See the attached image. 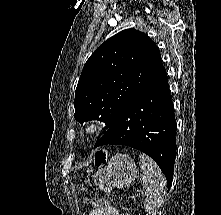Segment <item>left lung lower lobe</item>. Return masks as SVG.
I'll list each match as a JSON object with an SVG mask.
<instances>
[{
    "instance_id": "0a47b994",
    "label": "left lung lower lobe",
    "mask_w": 221,
    "mask_h": 215,
    "mask_svg": "<svg viewBox=\"0 0 221 215\" xmlns=\"http://www.w3.org/2000/svg\"><path fill=\"white\" fill-rule=\"evenodd\" d=\"M166 70L142 92L109 127L94 147L126 145L149 155L167 179L173 180L175 162V120Z\"/></svg>"
}]
</instances>
